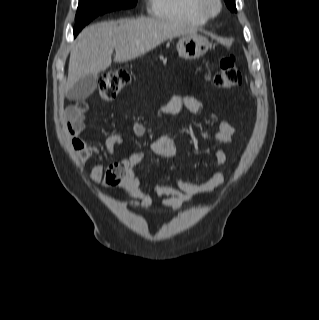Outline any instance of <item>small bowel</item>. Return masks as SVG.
<instances>
[{"label": "small bowel", "mask_w": 319, "mask_h": 320, "mask_svg": "<svg viewBox=\"0 0 319 320\" xmlns=\"http://www.w3.org/2000/svg\"><path fill=\"white\" fill-rule=\"evenodd\" d=\"M182 110H188L197 117L205 115V107L201 99L192 95L177 94L167 103L158 109V115H177ZM86 106L79 104L72 108L65 117V130L67 139L75 151L77 159L81 165L92 157L97 158V163L93 166L89 179L93 183H102L104 187L115 188L135 198L138 204L150 209L156 205L154 195L162 197L160 205L165 208L177 209L184 202L194 196L213 190L221 186L224 182V175L221 170L213 169L204 179L199 181H189L177 178L174 186L154 185L152 193L141 188V180L135 174L134 168L142 161L144 154L135 152L129 158L120 161L122 168L112 172V179L108 173L111 166H106L104 156L99 148L92 146L83 137L86 129L84 122ZM211 126L200 129L202 136L215 139L224 144H230L235 134L234 127L225 121H219L214 116H209ZM146 125L142 121H136L134 132L141 135L145 132ZM124 138L120 134H111L105 141V151L109 156L115 154L118 146L122 145ZM151 148L153 153L164 159H172L176 155V144L169 135L161 134L156 136ZM213 161L220 166L227 163V154L223 150L212 152Z\"/></svg>", "instance_id": "c3829d8e"}]
</instances>
